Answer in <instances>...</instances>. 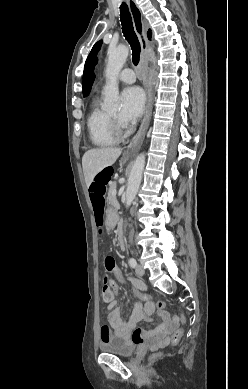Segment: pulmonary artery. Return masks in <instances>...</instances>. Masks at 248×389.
<instances>
[{
  "instance_id": "1",
  "label": "pulmonary artery",
  "mask_w": 248,
  "mask_h": 389,
  "mask_svg": "<svg viewBox=\"0 0 248 389\" xmlns=\"http://www.w3.org/2000/svg\"><path fill=\"white\" fill-rule=\"evenodd\" d=\"M119 80L124 83H133L136 80L135 72L130 68H126L121 71Z\"/></svg>"
}]
</instances>
